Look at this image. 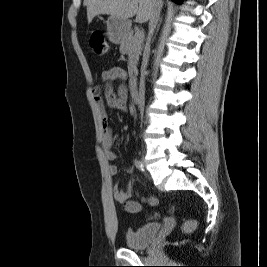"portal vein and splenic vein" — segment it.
I'll return each mask as SVG.
<instances>
[{"label": "portal vein and splenic vein", "instance_id": "1", "mask_svg": "<svg viewBox=\"0 0 267 267\" xmlns=\"http://www.w3.org/2000/svg\"><path fill=\"white\" fill-rule=\"evenodd\" d=\"M135 35L140 40H143V38H144V32L143 31L137 32Z\"/></svg>", "mask_w": 267, "mask_h": 267}]
</instances>
